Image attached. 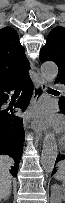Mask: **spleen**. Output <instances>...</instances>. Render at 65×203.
<instances>
[{"instance_id": "spleen-1", "label": "spleen", "mask_w": 65, "mask_h": 203, "mask_svg": "<svg viewBox=\"0 0 65 203\" xmlns=\"http://www.w3.org/2000/svg\"><path fill=\"white\" fill-rule=\"evenodd\" d=\"M55 178L57 180L62 181V182L65 181V168H64L63 164L60 165V167H59V169H58V171H57V173L55 175Z\"/></svg>"}]
</instances>
